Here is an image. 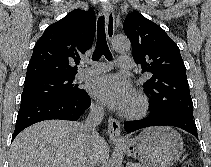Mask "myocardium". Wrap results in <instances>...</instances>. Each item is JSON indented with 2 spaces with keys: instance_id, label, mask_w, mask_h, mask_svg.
Masks as SVG:
<instances>
[{
  "instance_id": "f54148a6",
  "label": "myocardium",
  "mask_w": 211,
  "mask_h": 167,
  "mask_svg": "<svg viewBox=\"0 0 211 167\" xmlns=\"http://www.w3.org/2000/svg\"><path fill=\"white\" fill-rule=\"evenodd\" d=\"M149 109V100L142 93H136L133 96L129 109L125 112L128 119H139L144 117Z\"/></svg>"
}]
</instances>
